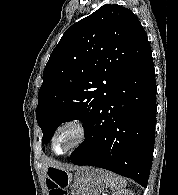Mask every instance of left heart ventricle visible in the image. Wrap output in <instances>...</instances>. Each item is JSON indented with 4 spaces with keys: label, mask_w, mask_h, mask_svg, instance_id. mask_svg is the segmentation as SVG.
I'll list each match as a JSON object with an SVG mask.
<instances>
[{
    "label": "left heart ventricle",
    "mask_w": 178,
    "mask_h": 195,
    "mask_svg": "<svg viewBox=\"0 0 178 195\" xmlns=\"http://www.w3.org/2000/svg\"><path fill=\"white\" fill-rule=\"evenodd\" d=\"M76 139V133L73 130H64L60 132L55 140L54 149L57 152H63L68 149Z\"/></svg>",
    "instance_id": "b2bd125f"
}]
</instances>
